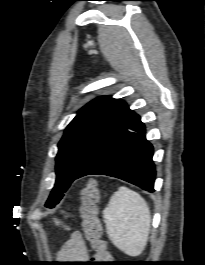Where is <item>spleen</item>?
Wrapping results in <instances>:
<instances>
[{
    "label": "spleen",
    "mask_w": 205,
    "mask_h": 265,
    "mask_svg": "<svg viewBox=\"0 0 205 265\" xmlns=\"http://www.w3.org/2000/svg\"><path fill=\"white\" fill-rule=\"evenodd\" d=\"M107 234L112 243L129 256L145 249L151 226L148 204L137 192L119 187L103 211Z\"/></svg>",
    "instance_id": "3e777b00"
}]
</instances>
